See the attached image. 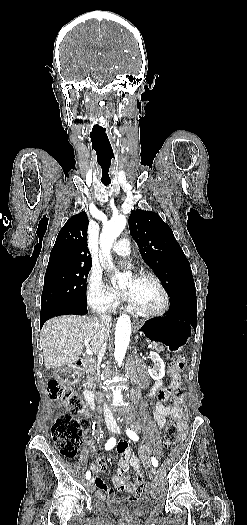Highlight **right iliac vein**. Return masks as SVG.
<instances>
[{
	"label": "right iliac vein",
	"instance_id": "right-iliac-vein-1",
	"mask_svg": "<svg viewBox=\"0 0 247 525\" xmlns=\"http://www.w3.org/2000/svg\"><path fill=\"white\" fill-rule=\"evenodd\" d=\"M108 430H109V431H113V430H114V427H113V426H108ZM92 482H93V478L90 480V483H92Z\"/></svg>",
	"mask_w": 247,
	"mask_h": 525
}]
</instances>
